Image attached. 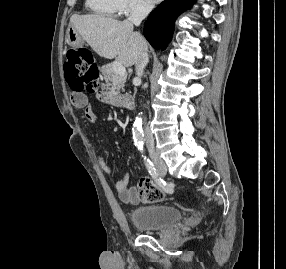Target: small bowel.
Here are the masks:
<instances>
[{
    "label": "small bowel",
    "instance_id": "obj_1",
    "mask_svg": "<svg viewBox=\"0 0 286 269\" xmlns=\"http://www.w3.org/2000/svg\"><path fill=\"white\" fill-rule=\"evenodd\" d=\"M112 93L116 92L115 88L111 89ZM99 93H110V88H99ZM95 99H121V94H95ZM71 103L75 108H83L85 119L92 123L95 121V113L93 109L87 105V98L82 91H73L71 94ZM95 140L103 142L101 136L97 133H92ZM98 164L106 174H112V168L104 157V150L102 149L98 155ZM129 176L127 173L121 175L115 182V189L118 197L128 203H137L141 197L139 192L134 187H129ZM166 192H171V187L163 188Z\"/></svg>",
    "mask_w": 286,
    "mask_h": 269
}]
</instances>
